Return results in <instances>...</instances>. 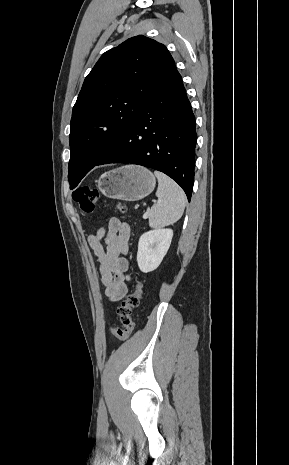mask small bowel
<instances>
[{"label":"small bowel","mask_w":289,"mask_h":465,"mask_svg":"<svg viewBox=\"0 0 289 465\" xmlns=\"http://www.w3.org/2000/svg\"><path fill=\"white\" fill-rule=\"evenodd\" d=\"M129 227L116 217L107 220V227L100 228L88 237L89 246L99 265L100 284L111 301L121 300L128 292V262L124 255L128 250Z\"/></svg>","instance_id":"c3829d8e"}]
</instances>
